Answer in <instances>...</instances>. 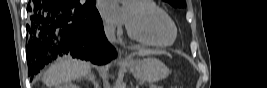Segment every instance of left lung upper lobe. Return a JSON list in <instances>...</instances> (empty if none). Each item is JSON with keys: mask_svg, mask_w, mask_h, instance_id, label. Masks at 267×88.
Returning a JSON list of instances; mask_svg holds the SVG:
<instances>
[{"mask_svg": "<svg viewBox=\"0 0 267 88\" xmlns=\"http://www.w3.org/2000/svg\"><path fill=\"white\" fill-rule=\"evenodd\" d=\"M166 2L170 3L174 7H184L185 1L184 0H165Z\"/></svg>", "mask_w": 267, "mask_h": 88, "instance_id": "obj_1", "label": "left lung upper lobe"}]
</instances>
